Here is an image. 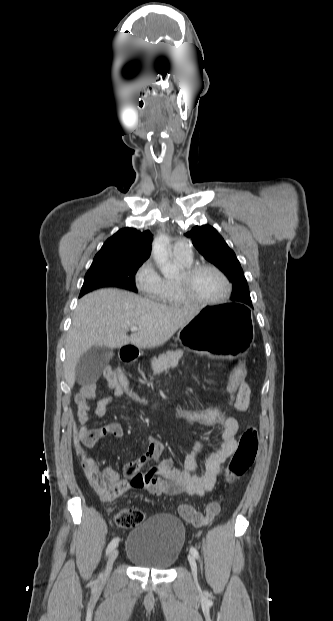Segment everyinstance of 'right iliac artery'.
Listing matches in <instances>:
<instances>
[{"instance_id":"right-iliac-artery-1","label":"right iliac artery","mask_w":333,"mask_h":621,"mask_svg":"<svg viewBox=\"0 0 333 621\" xmlns=\"http://www.w3.org/2000/svg\"><path fill=\"white\" fill-rule=\"evenodd\" d=\"M119 542V538H114L108 545L107 549H106V555L110 554L115 547L118 545Z\"/></svg>"}]
</instances>
